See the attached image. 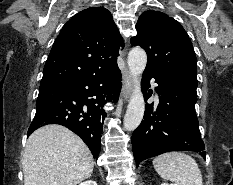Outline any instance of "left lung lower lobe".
Returning <instances> with one entry per match:
<instances>
[{"mask_svg": "<svg viewBox=\"0 0 233 185\" xmlns=\"http://www.w3.org/2000/svg\"><path fill=\"white\" fill-rule=\"evenodd\" d=\"M155 78L159 105L145 106L144 120L132 135V148L136 167L147 158L159 154L188 150L199 152L205 159V146L200 136L195 112L197 101V80L186 77L157 76L145 70L142 87L145 101L149 98L146 90L149 79Z\"/></svg>", "mask_w": 233, "mask_h": 185, "instance_id": "obj_1", "label": "left lung lower lobe"}]
</instances>
